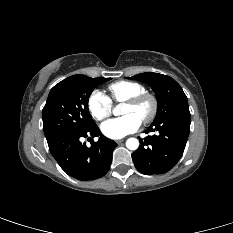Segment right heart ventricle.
<instances>
[{
    "mask_svg": "<svg viewBox=\"0 0 233 233\" xmlns=\"http://www.w3.org/2000/svg\"><path fill=\"white\" fill-rule=\"evenodd\" d=\"M108 92V98L112 103H122L138 94L146 92V89L144 85L138 82L121 80L111 83L108 86Z\"/></svg>",
    "mask_w": 233,
    "mask_h": 233,
    "instance_id": "obj_1",
    "label": "right heart ventricle"
}]
</instances>
